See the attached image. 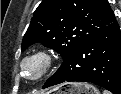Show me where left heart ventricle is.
I'll return each mask as SVG.
<instances>
[{"label":"left heart ventricle","instance_id":"1","mask_svg":"<svg viewBox=\"0 0 121 94\" xmlns=\"http://www.w3.org/2000/svg\"><path fill=\"white\" fill-rule=\"evenodd\" d=\"M37 69H38L37 64H31L28 67V72L31 73V74H35L37 72Z\"/></svg>","mask_w":121,"mask_h":94}]
</instances>
